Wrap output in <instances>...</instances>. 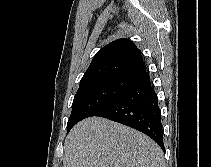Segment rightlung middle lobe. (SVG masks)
<instances>
[{
    "mask_svg": "<svg viewBox=\"0 0 211 167\" xmlns=\"http://www.w3.org/2000/svg\"><path fill=\"white\" fill-rule=\"evenodd\" d=\"M127 78H104L81 84L72 103L68 132L80 120L93 116L131 86Z\"/></svg>",
    "mask_w": 211,
    "mask_h": 167,
    "instance_id": "1",
    "label": "right lung middle lobe"
}]
</instances>
